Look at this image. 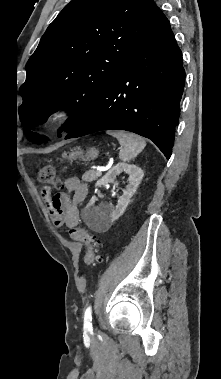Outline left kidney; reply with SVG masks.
Wrapping results in <instances>:
<instances>
[{
	"label": "left kidney",
	"instance_id": "5707ae66",
	"mask_svg": "<svg viewBox=\"0 0 221 379\" xmlns=\"http://www.w3.org/2000/svg\"><path fill=\"white\" fill-rule=\"evenodd\" d=\"M125 172L129 175L128 185L122 196L119 197L115 207L107 205L94 206L95 197H93L83 210V219L89 228L93 230L107 229L117 220L127 208L131 197L137 190L142 178L143 170L136 165L118 163L109 170L97 183L96 187H100L107 183H113L120 173ZM114 193L112 196H115Z\"/></svg>",
	"mask_w": 221,
	"mask_h": 379
}]
</instances>
